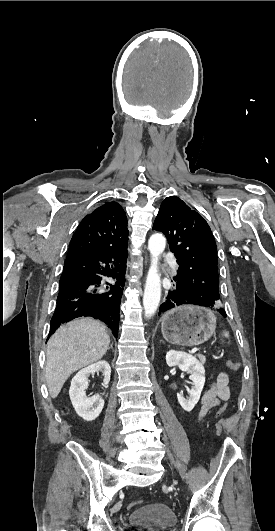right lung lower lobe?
<instances>
[{
  "label": "right lung lower lobe",
  "instance_id": "1",
  "mask_svg": "<svg viewBox=\"0 0 275 531\" xmlns=\"http://www.w3.org/2000/svg\"><path fill=\"white\" fill-rule=\"evenodd\" d=\"M127 245L67 257L48 338L61 323L81 316L104 321L118 335ZM111 277L115 284L103 281Z\"/></svg>",
  "mask_w": 275,
  "mask_h": 531
}]
</instances>
